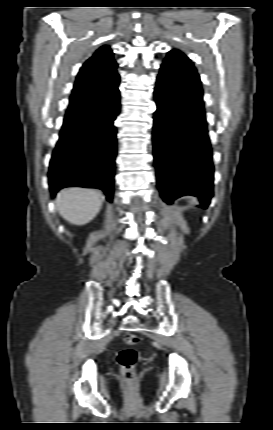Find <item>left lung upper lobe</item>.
I'll return each mask as SVG.
<instances>
[{
    "label": "left lung upper lobe",
    "instance_id": "left-lung-upper-lobe-1",
    "mask_svg": "<svg viewBox=\"0 0 273 430\" xmlns=\"http://www.w3.org/2000/svg\"><path fill=\"white\" fill-rule=\"evenodd\" d=\"M160 73L170 81L178 79V89L186 94L194 95L203 101V89L196 68L190 59L179 50L168 52Z\"/></svg>",
    "mask_w": 273,
    "mask_h": 430
}]
</instances>
